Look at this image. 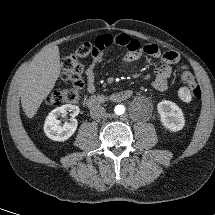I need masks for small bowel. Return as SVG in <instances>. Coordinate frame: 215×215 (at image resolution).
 I'll return each mask as SVG.
<instances>
[{"label": "small bowel", "instance_id": "1", "mask_svg": "<svg viewBox=\"0 0 215 215\" xmlns=\"http://www.w3.org/2000/svg\"><path fill=\"white\" fill-rule=\"evenodd\" d=\"M111 46L126 48L127 52L122 58L126 63L137 61L143 53L152 58L161 59L162 64L156 67L152 86L158 91H165L168 89L169 79L172 74L171 65L179 61V55L176 52L167 51L162 53L155 44H147L142 47L137 40L131 38L127 34H105L96 37L92 43V59L84 70L86 89L89 94H93L96 91L95 79L97 65L103 60L105 50Z\"/></svg>", "mask_w": 215, "mask_h": 215}]
</instances>
